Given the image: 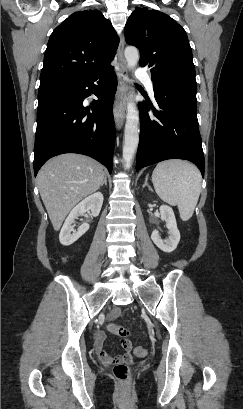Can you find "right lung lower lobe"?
Segmentation results:
<instances>
[{
	"label": "right lung lower lobe",
	"mask_w": 243,
	"mask_h": 409,
	"mask_svg": "<svg viewBox=\"0 0 243 409\" xmlns=\"http://www.w3.org/2000/svg\"><path fill=\"white\" fill-rule=\"evenodd\" d=\"M94 88L98 100L91 103L93 112L89 113L83 101ZM116 89L117 77L108 65L85 79L39 90L35 176L49 158L63 153L90 156L112 172L115 142L112 105Z\"/></svg>",
	"instance_id": "1"
}]
</instances>
